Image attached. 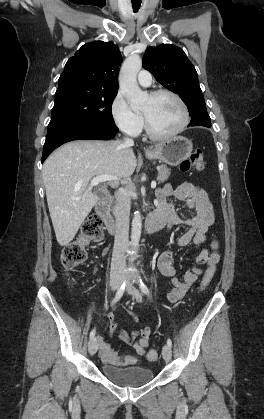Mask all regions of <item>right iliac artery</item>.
Instances as JSON below:
<instances>
[{
	"instance_id": "right-iliac-artery-1",
	"label": "right iliac artery",
	"mask_w": 264,
	"mask_h": 419,
	"mask_svg": "<svg viewBox=\"0 0 264 419\" xmlns=\"http://www.w3.org/2000/svg\"><path fill=\"white\" fill-rule=\"evenodd\" d=\"M125 287H126V284L125 283H123L121 286H120V288L118 289V291H117V293H116V295H115V297H114V299L112 300V302H111V304L113 305V304H115L121 297H122V295L124 294V291H125ZM95 333H96V329L94 328L92 331H91V333H90V339H92V338H94V336H95Z\"/></svg>"
}]
</instances>
